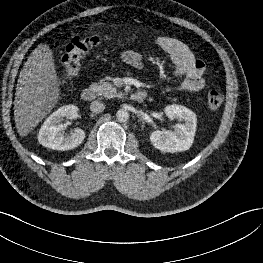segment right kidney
<instances>
[{"mask_svg":"<svg viewBox=\"0 0 263 263\" xmlns=\"http://www.w3.org/2000/svg\"><path fill=\"white\" fill-rule=\"evenodd\" d=\"M77 112L78 107L74 105H65L53 112L39 130V143L47 148L60 151L71 150L79 146L85 138L84 130L75 128L69 135H65L62 124L65 118H75Z\"/></svg>","mask_w":263,"mask_h":263,"instance_id":"1","label":"right kidney"}]
</instances>
